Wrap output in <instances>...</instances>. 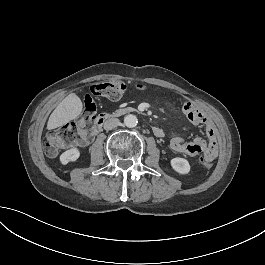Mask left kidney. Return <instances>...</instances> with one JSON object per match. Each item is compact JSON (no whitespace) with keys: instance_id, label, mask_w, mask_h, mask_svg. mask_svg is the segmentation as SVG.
Instances as JSON below:
<instances>
[{"instance_id":"obj_1","label":"left kidney","mask_w":265,"mask_h":265,"mask_svg":"<svg viewBox=\"0 0 265 265\" xmlns=\"http://www.w3.org/2000/svg\"><path fill=\"white\" fill-rule=\"evenodd\" d=\"M171 166L176 172L180 174H187L190 171L189 162L184 158H173L171 160Z\"/></svg>"}]
</instances>
